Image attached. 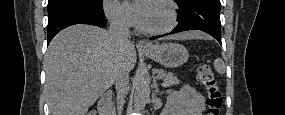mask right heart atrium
Returning <instances> with one entry per match:
<instances>
[{"mask_svg": "<svg viewBox=\"0 0 285 115\" xmlns=\"http://www.w3.org/2000/svg\"><path fill=\"white\" fill-rule=\"evenodd\" d=\"M104 11L109 21L117 26L129 28L135 24L131 11L119 1H104Z\"/></svg>", "mask_w": 285, "mask_h": 115, "instance_id": "d8ad5b80", "label": "right heart atrium"}]
</instances>
